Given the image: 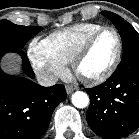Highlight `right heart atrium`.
Instances as JSON below:
<instances>
[{
	"mask_svg": "<svg viewBox=\"0 0 139 139\" xmlns=\"http://www.w3.org/2000/svg\"><path fill=\"white\" fill-rule=\"evenodd\" d=\"M28 58L38 76L47 83L56 81L67 72L66 63L48 48L44 40L30 42Z\"/></svg>",
	"mask_w": 139,
	"mask_h": 139,
	"instance_id": "d8ad5b80",
	"label": "right heart atrium"
}]
</instances>
